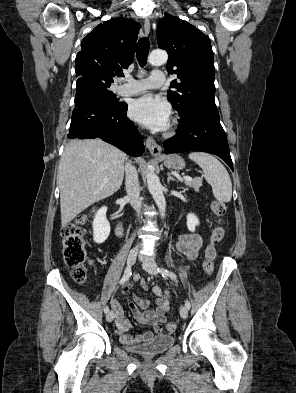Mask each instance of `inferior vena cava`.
<instances>
[{"label":"inferior vena cava","mask_w":296,"mask_h":393,"mask_svg":"<svg viewBox=\"0 0 296 393\" xmlns=\"http://www.w3.org/2000/svg\"><path fill=\"white\" fill-rule=\"evenodd\" d=\"M125 186L127 192V198L130 201L132 207L139 214L142 206V201L140 199V188L138 182V174L134 166L129 163L125 165Z\"/></svg>","instance_id":"602c4592"}]
</instances>
